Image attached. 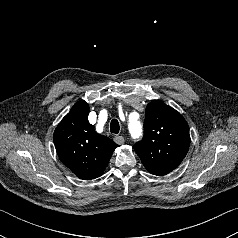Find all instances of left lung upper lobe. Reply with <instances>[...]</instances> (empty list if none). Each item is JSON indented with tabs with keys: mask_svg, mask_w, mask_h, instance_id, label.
I'll use <instances>...</instances> for the list:
<instances>
[{
	"mask_svg": "<svg viewBox=\"0 0 238 238\" xmlns=\"http://www.w3.org/2000/svg\"><path fill=\"white\" fill-rule=\"evenodd\" d=\"M189 146V127L184 117L161 101L150 102L143 139L134 145L144 167L153 175H166L180 165Z\"/></svg>",
	"mask_w": 238,
	"mask_h": 238,
	"instance_id": "5c2ea615",
	"label": "left lung upper lobe"
}]
</instances>
